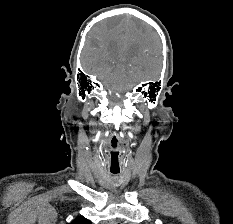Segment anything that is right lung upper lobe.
Returning a JSON list of instances; mask_svg holds the SVG:
<instances>
[{
  "mask_svg": "<svg viewBox=\"0 0 233 224\" xmlns=\"http://www.w3.org/2000/svg\"><path fill=\"white\" fill-rule=\"evenodd\" d=\"M69 224H92L91 221L84 217H77Z\"/></svg>",
  "mask_w": 233,
  "mask_h": 224,
  "instance_id": "cb5924a9",
  "label": "right lung upper lobe"
}]
</instances>
